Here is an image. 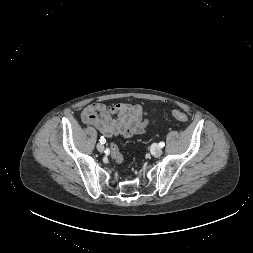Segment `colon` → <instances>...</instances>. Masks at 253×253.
<instances>
[{
	"label": "colon",
	"instance_id": "obj_1",
	"mask_svg": "<svg viewBox=\"0 0 253 253\" xmlns=\"http://www.w3.org/2000/svg\"><path fill=\"white\" fill-rule=\"evenodd\" d=\"M172 115L176 120L182 123H186L188 121L186 114L179 110L172 111ZM109 150H110L111 157L115 163L117 164L123 163L124 161L123 156L119 150V147L115 143H111L109 145Z\"/></svg>",
	"mask_w": 253,
	"mask_h": 253
}]
</instances>
